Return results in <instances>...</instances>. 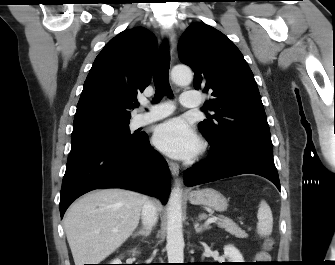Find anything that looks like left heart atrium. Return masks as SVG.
I'll use <instances>...</instances> for the list:
<instances>
[{
    "mask_svg": "<svg viewBox=\"0 0 335 265\" xmlns=\"http://www.w3.org/2000/svg\"><path fill=\"white\" fill-rule=\"evenodd\" d=\"M153 141L159 150L174 158H189L199 147L192 129L179 118L160 124L155 129Z\"/></svg>",
    "mask_w": 335,
    "mask_h": 265,
    "instance_id": "1",
    "label": "left heart atrium"
}]
</instances>
